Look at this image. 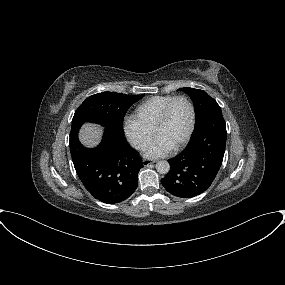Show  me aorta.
<instances>
[{
    "mask_svg": "<svg viewBox=\"0 0 285 285\" xmlns=\"http://www.w3.org/2000/svg\"><path fill=\"white\" fill-rule=\"evenodd\" d=\"M156 170L160 174H167L170 170V165L166 160H161L156 163Z\"/></svg>",
    "mask_w": 285,
    "mask_h": 285,
    "instance_id": "1",
    "label": "aorta"
}]
</instances>
